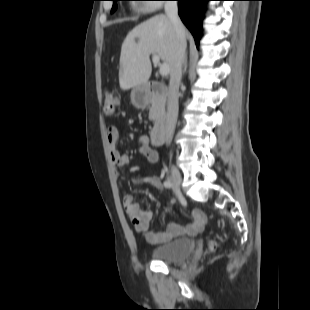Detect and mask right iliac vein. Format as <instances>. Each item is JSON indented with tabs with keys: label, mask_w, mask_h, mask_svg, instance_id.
Returning a JSON list of instances; mask_svg holds the SVG:
<instances>
[{
	"label": "right iliac vein",
	"mask_w": 310,
	"mask_h": 310,
	"mask_svg": "<svg viewBox=\"0 0 310 310\" xmlns=\"http://www.w3.org/2000/svg\"><path fill=\"white\" fill-rule=\"evenodd\" d=\"M170 180L174 184L175 193L177 195H180L181 174L175 166H172L171 168Z\"/></svg>",
	"instance_id": "63e3f726"
}]
</instances>
